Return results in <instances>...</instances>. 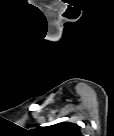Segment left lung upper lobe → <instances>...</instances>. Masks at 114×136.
<instances>
[{
    "mask_svg": "<svg viewBox=\"0 0 114 136\" xmlns=\"http://www.w3.org/2000/svg\"><path fill=\"white\" fill-rule=\"evenodd\" d=\"M37 133L41 136H81L79 126L71 122H62L39 128Z\"/></svg>",
    "mask_w": 114,
    "mask_h": 136,
    "instance_id": "1",
    "label": "left lung upper lobe"
}]
</instances>
